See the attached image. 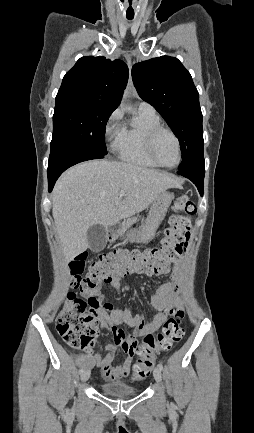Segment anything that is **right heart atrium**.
Returning <instances> with one entry per match:
<instances>
[{
    "instance_id": "d8ad5b80",
    "label": "right heart atrium",
    "mask_w": 254,
    "mask_h": 433,
    "mask_svg": "<svg viewBox=\"0 0 254 433\" xmlns=\"http://www.w3.org/2000/svg\"><path fill=\"white\" fill-rule=\"evenodd\" d=\"M120 121H121V112L119 109H116L109 115L105 123V127H104L105 138L108 141L113 140V145L121 129Z\"/></svg>"
}]
</instances>
